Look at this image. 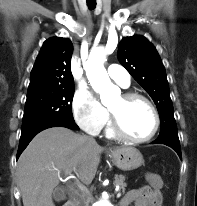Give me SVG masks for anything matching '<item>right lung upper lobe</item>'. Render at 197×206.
Wrapping results in <instances>:
<instances>
[{"mask_svg": "<svg viewBox=\"0 0 197 206\" xmlns=\"http://www.w3.org/2000/svg\"><path fill=\"white\" fill-rule=\"evenodd\" d=\"M72 42L67 38L47 39L31 71L28 89L74 85L70 63Z\"/></svg>", "mask_w": 197, "mask_h": 206, "instance_id": "obj_1", "label": "right lung upper lobe"}]
</instances>
